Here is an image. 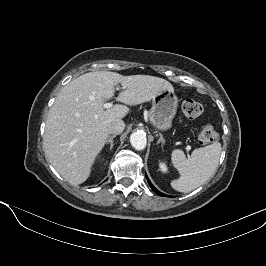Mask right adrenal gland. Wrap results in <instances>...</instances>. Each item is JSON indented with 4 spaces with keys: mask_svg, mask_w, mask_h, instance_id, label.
Instances as JSON below:
<instances>
[{
    "mask_svg": "<svg viewBox=\"0 0 266 266\" xmlns=\"http://www.w3.org/2000/svg\"><path fill=\"white\" fill-rule=\"evenodd\" d=\"M116 137V135L109 136V138L106 141V145L110 144V150L113 148V139Z\"/></svg>",
    "mask_w": 266,
    "mask_h": 266,
    "instance_id": "1",
    "label": "right adrenal gland"
}]
</instances>
